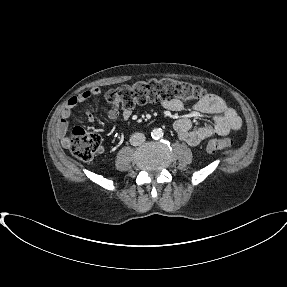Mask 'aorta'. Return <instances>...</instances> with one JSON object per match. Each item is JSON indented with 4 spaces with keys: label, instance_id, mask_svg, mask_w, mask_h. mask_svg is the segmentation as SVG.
Listing matches in <instances>:
<instances>
[{
    "label": "aorta",
    "instance_id": "aorta-1",
    "mask_svg": "<svg viewBox=\"0 0 287 287\" xmlns=\"http://www.w3.org/2000/svg\"><path fill=\"white\" fill-rule=\"evenodd\" d=\"M164 135V132L161 128H155L151 132V136L153 139H160Z\"/></svg>",
    "mask_w": 287,
    "mask_h": 287
}]
</instances>
